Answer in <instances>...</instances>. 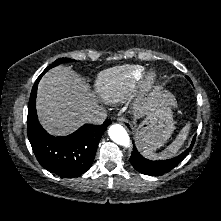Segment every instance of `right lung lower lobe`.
Masks as SVG:
<instances>
[{"label":"right lung lower lobe","instance_id":"obj_1","mask_svg":"<svg viewBox=\"0 0 221 221\" xmlns=\"http://www.w3.org/2000/svg\"><path fill=\"white\" fill-rule=\"evenodd\" d=\"M36 80L29 99L27 132L33 152L40 165L61 177L73 178L85 173L91 166L98 143L110 125L109 119L101 125L85 124L69 136L54 137L40 125L36 113Z\"/></svg>","mask_w":221,"mask_h":221}]
</instances>
